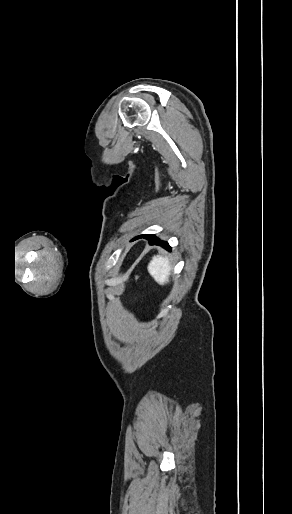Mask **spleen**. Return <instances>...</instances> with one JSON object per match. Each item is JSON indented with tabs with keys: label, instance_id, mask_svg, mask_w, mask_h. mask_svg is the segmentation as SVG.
Wrapping results in <instances>:
<instances>
[{
	"label": "spleen",
	"instance_id": "spleen-1",
	"mask_svg": "<svg viewBox=\"0 0 292 514\" xmlns=\"http://www.w3.org/2000/svg\"><path fill=\"white\" fill-rule=\"evenodd\" d=\"M147 270L157 284L165 286V284H168L169 282L172 266L169 258H164V256H153L147 266Z\"/></svg>",
	"mask_w": 292,
	"mask_h": 514
}]
</instances>
